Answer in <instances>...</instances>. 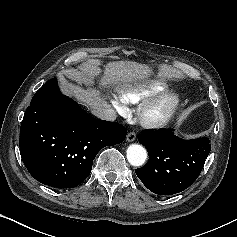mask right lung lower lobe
Wrapping results in <instances>:
<instances>
[{"label": "right lung lower lobe", "instance_id": "right-lung-lower-lobe-1", "mask_svg": "<svg viewBox=\"0 0 237 237\" xmlns=\"http://www.w3.org/2000/svg\"><path fill=\"white\" fill-rule=\"evenodd\" d=\"M119 123L90 117L63 96L53 78L33 96L20 129V154L29 173L52 187L74 188L90 174L104 147L124 141Z\"/></svg>", "mask_w": 237, "mask_h": 237}]
</instances>
